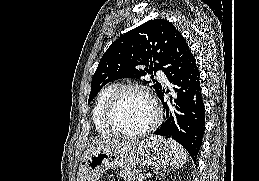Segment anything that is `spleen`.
<instances>
[{"label":"spleen","mask_w":259,"mask_h":181,"mask_svg":"<svg viewBox=\"0 0 259 181\" xmlns=\"http://www.w3.org/2000/svg\"><path fill=\"white\" fill-rule=\"evenodd\" d=\"M167 142L173 152V160H172L173 166L175 168L182 167L188 158L186 150L179 143H177L175 140L171 138L168 139Z\"/></svg>","instance_id":"3e777b00"}]
</instances>
